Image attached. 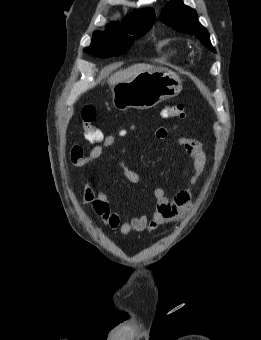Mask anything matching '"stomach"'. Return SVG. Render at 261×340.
I'll use <instances>...</instances> for the list:
<instances>
[{"label": "stomach", "mask_w": 261, "mask_h": 340, "mask_svg": "<svg viewBox=\"0 0 261 340\" xmlns=\"http://www.w3.org/2000/svg\"><path fill=\"white\" fill-rule=\"evenodd\" d=\"M182 90L181 79L173 72L150 70L112 87L113 107L149 109L165 99L175 97Z\"/></svg>", "instance_id": "1"}]
</instances>
